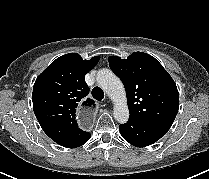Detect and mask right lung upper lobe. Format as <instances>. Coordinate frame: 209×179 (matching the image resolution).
<instances>
[{"label": "right lung upper lobe", "instance_id": "1", "mask_svg": "<svg viewBox=\"0 0 209 179\" xmlns=\"http://www.w3.org/2000/svg\"><path fill=\"white\" fill-rule=\"evenodd\" d=\"M99 57L83 60L77 53L65 54L52 62L36 79L32 101L35 116L44 132L63 145L82 130L76 121L80 106L90 109L94 101L87 97L89 87L84 76Z\"/></svg>", "mask_w": 209, "mask_h": 179}]
</instances>
